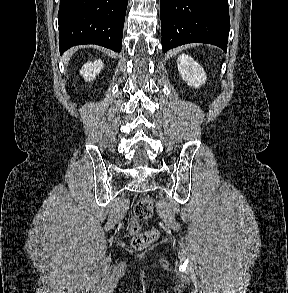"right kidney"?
Returning a JSON list of instances; mask_svg holds the SVG:
<instances>
[{"label":"right kidney","mask_w":288,"mask_h":293,"mask_svg":"<svg viewBox=\"0 0 288 293\" xmlns=\"http://www.w3.org/2000/svg\"><path fill=\"white\" fill-rule=\"evenodd\" d=\"M102 69L103 62L101 60L87 62L80 70V74L85 78L86 81H91L95 79L96 75H98Z\"/></svg>","instance_id":"right-kidney-1"}]
</instances>
